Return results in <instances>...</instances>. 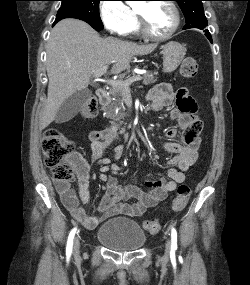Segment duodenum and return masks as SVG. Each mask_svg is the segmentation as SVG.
<instances>
[{
    "label": "duodenum",
    "mask_w": 250,
    "mask_h": 285,
    "mask_svg": "<svg viewBox=\"0 0 250 285\" xmlns=\"http://www.w3.org/2000/svg\"><path fill=\"white\" fill-rule=\"evenodd\" d=\"M97 97L101 103H106L108 101V92L104 88H99L97 90Z\"/></svg>",
    "instance_id": "1"
}]
</instances>
